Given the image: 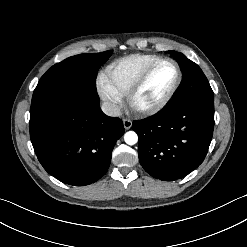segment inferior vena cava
I'll return each instance as SVG.
<instances>
[{"label":"inferior vena cava","instance_id":"1","mask_svg":"<svg viewBox=\"0 0 247 247\" xmlns=\"http://www.w3.org/2000/svg\"><path fill=\"white\" fill-rule=\"evenodd\" d=\"M102 111L111 117H117L121 115V107L115 103L104 102L101 106Z\"/></svg>","mask_w":247,"mask_h":247}]
</instances>
